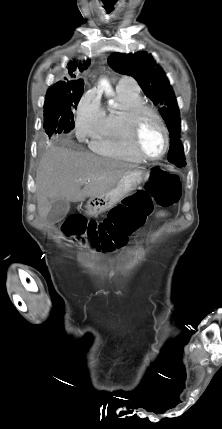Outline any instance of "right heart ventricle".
<instances>
[{"label":"right heart ventricle","instance_id":"e07e8e85","mask_svg":"<svg viewBox=\"0 0 222 429\" xmlns=\"http://www.w3.org/2000/svg\"><path fill=\"white\" fill-rule=\"evenodd\" d=\"M116 99L118 108L105 113L104 121L92 137L90 147L100 155L138 163L142 158L135 153L129 143L128 116L137 105L144 104L138 90L118 89Z\"/></svg>","mask_w":222,"mask_h":429}]
</instances>
